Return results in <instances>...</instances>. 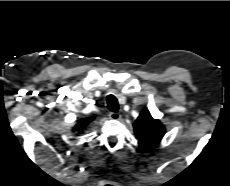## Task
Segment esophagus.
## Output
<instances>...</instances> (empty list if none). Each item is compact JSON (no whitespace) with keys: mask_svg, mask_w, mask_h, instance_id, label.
<instances>
[{"mask_svg":"<svg viewBox=\"0 0 230 186\" xmlns=\"http://www.w3.org/2000/svg\"><path fill=\"white\" fill-rule=\"evenodd\" d=\"M109 117L112 120H119L121 118V115H120V113H117V112H111L109 114Z\"/></svg>","mask_w":230,"mask_h":186,"instance_id":"obj_1","label":"esophagus"}]
</instances>
